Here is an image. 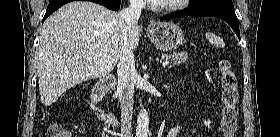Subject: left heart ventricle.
Returning a JSON list of instances; mask_svg holds the SVG:
<instances>
[{
    "label": "left heart ventricle",
    "instance_id": "obj_1",
    "mask_svg": "<svg viewBox=\"0 0 280 137\" xmlns=\"http://www.w3.org/2000/svg\"><path fill=\"white\" fill-rule=\"evenodd\" d=\"M174 0H163L162 3H172ZM167 28H169L170 26H166Z\"/></svg>",
    "mask_w": 280,
    "mask_h": 137
}]
</instances>
